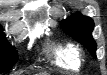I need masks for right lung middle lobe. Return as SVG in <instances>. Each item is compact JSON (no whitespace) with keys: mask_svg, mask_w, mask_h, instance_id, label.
I'll list each match as a JSON object with an SVG mask.
<instances>
[{"mask_svg":"<svg viewBox=\"0 0 107 75\" xmlns=\"http://www.w3.org/2000/svg\"><path fill=\"white\" fill-rule=\"evenodd\" d=\"M18 55L14 47L10 46L0 31V73L9 71L17 62Z\"/></svg>","mask_w":107,"mask_h":75,"instance_id":"right-lung-middle-lobe-1","label":"right lung middle lobe"}]
</instances>
